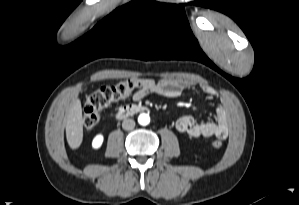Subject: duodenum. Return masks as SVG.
<instances>
[{
	"mask_svg": "<svg viewBox=\"0 0 299 205\" xmlns=\"http://www.w3.org/2000/svg\"><path fill=\"white\" fill-rule=\"evenodd\" d=\"M148 108L139 104H128L119 108L115 114L117 119H125L137 113L147 112Z\"/></svg>",
	"mask_w": 299,
	"mask_h": 205,
	"instance_id": "obj_1",
	"label": "duodenum"
}]
</instances>
